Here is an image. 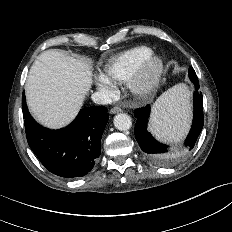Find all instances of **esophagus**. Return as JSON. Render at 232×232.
I'll use <instances>...</instances> for the list:
<instances>
[{"mask_svg":"<svg viewBox=\"0 0 232 232\" xmlns=\"http://www.w3.org/2000/svg\"><path fill=\"white\" fill-rule=\"evenodd\" d=\"M120 112H122V108L119 106H115L110 110L111 114H116V113H120Z\"/></svg>","mask_w":232,"mask_h":232,"instance_id":"esophagus-1","label":"esophagus"}]
</instances>
